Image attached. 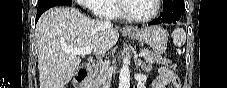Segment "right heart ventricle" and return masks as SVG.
Wrapping results in <instances>:
<instances>
[{"mask_svg":"<svg viewBox=\"0 0 227 88\" xmlns=\"http://www.w3.org/2000/svg\"><path fill=\"white\" fill-rule=\"evenodd\" d=\"M115 2L116 0L112 1H103L99 5H97V14L101 17H106V16H117L118 12L115 8ZM102 13L104 14L102 16Z\"/></svg>","mask_w":227,"mask_h":88,"instance_id":"obj_1","label":"right heart ventricle"}]
</instances>
